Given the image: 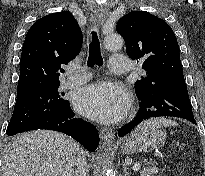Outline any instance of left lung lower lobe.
I'll use <instances>...</instances> for the list:
<instances>
[{"instance_id": "left-lung-lower-lobe-1", "label": "left lung lower lobe", "mask_w": 205, "mask_h": 176, "mask_svg": "<svg viewBox=\"0 0 205 176\" xmlns=\"http://www.w3.org/2000/svg\"><path fill=\"white\" fill-rule=\"evenodd\" d=\"M140 99L141 106L135 119L119 129L118 136L126 135L135 126L154 117H178L196 124L185 83L166 84Z\"/></svg>"}]
</instances>
